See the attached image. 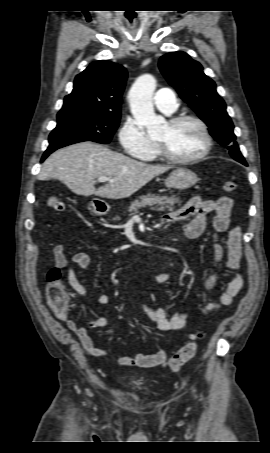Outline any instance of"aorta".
<instances>
[{"mask_svg": "<svg viewBox=\"0 0 270 453\" xmlns=\"http://www.w3.org/2000/svg\"><path fill=\"white\" fill-rule=\"evenodd\" d=\"M155 88V78L144 74L137 78L128 94L131 112L137 124L146 127L149 135L161 132L165 124L164 118L154 111L152 97Z\"/></svg>", "mask_w": 270, "mask_h": 453, "instance_id": "obj_1", "label": "aorta"}]
</instances>
